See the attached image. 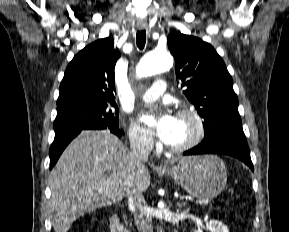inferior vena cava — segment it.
Wrapping results in <instances>:
<instances>
[{"label": "inferior vena cava", "instance_id": "obj_1", "mask_svg": "<svg viewBox=\"0 0 289 232\" xmlns=\"http://www.w3.org/2000/svg\"><path fill=\"white\" fill-rule=\"evenodd\" d=\"M150 138L146 135L135 137L131 141L129 153L130 166H141L148 160ZM133 178L129 175L128 208L134 214L135 224L139 232H153V227L147 213V205L141 191H132Z\"/></svg>", "mask_w": 289, "mask_h": 232}]
</instances>
